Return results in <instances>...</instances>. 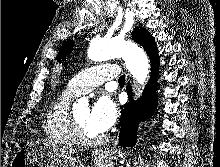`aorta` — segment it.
Wrapping results in <instances>:
<instances>
[{"mask_svg": "<svg viewBox=\"0 0 220 167\" xmlns=\"http://www.w3.org/2000/svg\"><path fill=\"white\" fill-rule=\"evenodd\" d=\"M87 54L88 58L95 62L122 58L126 68L135 78L139 86H143L147 81L149 74L148 57L143 49L131 41L119 37L111 40L96 37L91 41ZM140 92V88L138 87L137 94ZM85 102H87L85 98L78 100L79 104ZM74 106H77V104Z\"/></svg>", "mask_w": 220, "mask_h": 167, "instance_id": "1", "label": "aorta"}]
</instances>
